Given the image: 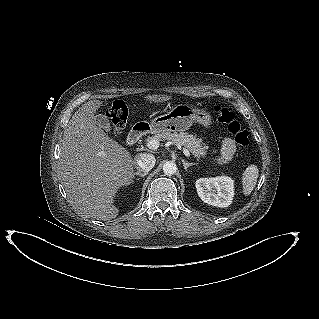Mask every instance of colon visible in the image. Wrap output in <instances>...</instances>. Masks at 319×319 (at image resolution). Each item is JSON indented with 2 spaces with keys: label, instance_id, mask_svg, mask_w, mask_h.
<instances>
[{
  "label": "colon",
  "instance_id": "colon-1",
  "mask_svg": "<svg viewBox=\"0 0 319 319\" xmlns=\"http://www.w3.org/2000/svg\"><path fill=\"white\" fill-rule=\"evenodd\" d=\"M214 115L218 122L225 124L228 131L234 136L235 142L241 147L250 144L249 134L242 129L240 121L233 111L226 107L215 106ZM128 109L124 101L117 100L108 110V118L115 134H120L126 126Z\"/></svg>",
  "mask_w": 319,
  "mask_h": 319
}]
</instances>
